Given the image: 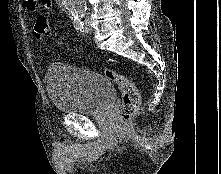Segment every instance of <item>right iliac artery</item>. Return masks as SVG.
Here are the masks:
<instances>
[{
	"label": "right iliac artery",
	"mask_w": 221,
	"mask_h": 174,
	"mask_svg": "<svg viewBox=\"0 0 221 174\" xmlns=\"http://www.w3.org/2000/svg\"><path fill=\"white\" fill-rule=\"evenodd\" d=\"M73 25L76 30H79V31L83 30L84 23L81 20L75 19L73 21Z\"/></svg>",
	"instance_id": "82829eb1"
}]
</instances>
